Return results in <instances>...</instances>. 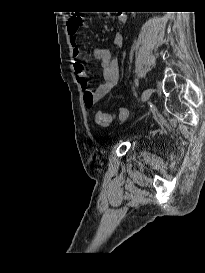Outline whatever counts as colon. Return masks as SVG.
Wrapping results in <instances>:
<instances>
[{
    "label": "colon",
    "mask_w": 205,
    "mask_h": 273,
    "mask_svg": "<svg viewBox=\"0 0 205 273\" xmlns=\"http://www.w3.org/2000/svg\"><path fill=\"white\" fill-rule=\"evenodd\" d=\"M78 27H82V20H78L77 22ZM129 110L127 108H119L115 114L110 113H103L101 111L95 112V121L97 124L101 126H108L112 123L115 118L119 120L125 121L129 117Z\"/></svg>",
    "instance_id": "obj_1"
}]
</instances>
